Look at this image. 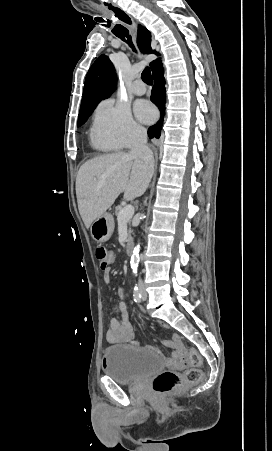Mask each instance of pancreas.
<instances>
[{"label": "pancreas", "instance_id": "1", "mask_svg": "<svg viewBox=\"0 0 272 451\" xmlns=\"http://www.w3.org/2000/svg\"><path fill=\"white\" fill-rule=\"evenodd\" d=\"M123 208H124V206H116V208H115L116 216H118L120 210H123ZM127 224H130V220H129V222H127ZM131 231H132V229H131V227H129V229H128V241H132V239H133V237L131 235Z\"/></svg>", "mask_w": 272, "mask_h": 451}]
</instances>
